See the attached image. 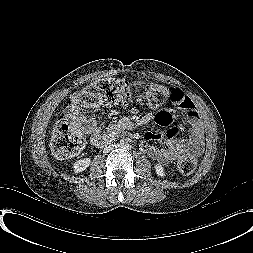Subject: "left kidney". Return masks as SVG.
Returning <instances> with one entry per match:
<instances>
[{
	"mask_svg": "<svg viewBox=\"0 0 253 253\" xmlns=\"http://www.w3.org/2000/svg\"><path fill=\"white\" fill-rule=\"evenodd\" d=\"M155 171L158 176L163 177L165 175L164 168L160 164L155 165Z\"/></svg>",
	"mask_w": 253,
	"mask_h": 253,
	"instance_id": "left-kidney-1",
	"label": "left kidney"
}]
</instances>
